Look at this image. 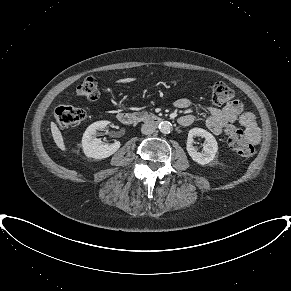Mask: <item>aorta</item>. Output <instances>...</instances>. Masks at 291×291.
Listing matches in <instances>:
<instances>
[{
  "mask_svg": "<svg viewBox=\"0 0 291 291\" xmlns=\"http://www.w3.org/2000/svg\"><path fill=\"white\" fill-rule=\"evenodd\" d=\"M158 128L161 133L169 134L172 131V125L168 121H162L159 123Z\"/></svg>",
  "mask_w": 291,
  "mask_h": 291,
  "instance_id": "762f6f07",
  "label": "aorta"
}]
</instances>
